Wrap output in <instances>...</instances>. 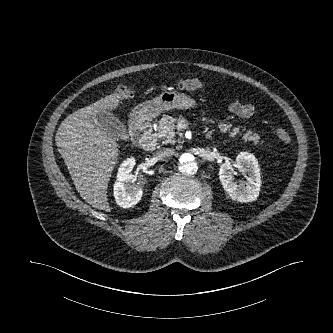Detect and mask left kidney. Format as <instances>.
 Segmentation results:
<instances>
[{"label":"left kidney","mask_w":333,"mask_h":333,"mask_svg":"<svg viewBox=\"0 0 333 333\" xmlns=\"http://www.w3.org/2000/svg\"><path fill=\"white\" fill-rule=\"evenodd\" d=\"M234 167L242 173H247L246 181H235ZM219 179L226 193L235 201L252 202L259 196L260 168L256 157L251 153L241 152L236 157V164H222L219 169Z\"/></svg>","instance_id":"left-kidney-1"}]
</instances>
